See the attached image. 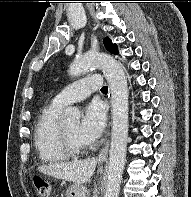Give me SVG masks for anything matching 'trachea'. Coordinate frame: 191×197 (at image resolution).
<instances>
[{"label": "trachea", "mask_w": 191, "mask_h": 197, "mask_svg": "<svg viewBox=\"0 0 191 197\" xmlns=\"http://www.w3.org/2000/svg\"><path fill=\"white\" fill-rule=\"evenodd\" d=\"M108 90V87L107 86H104L101 88V91H107Z\"/></svg>", "instance_id": "1"}]
</instances>
